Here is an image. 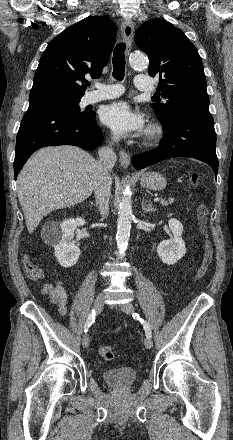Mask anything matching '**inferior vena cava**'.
<instances>
[{"label":"inferior vena cava","instance_id":"obj_1","mask_svg":"<svg viewBox=\"0 0 233 440\" xmlns=\"http://www.w3.org/2000/svg\"><path fill=\"white\" fill-rule=\"evenodd\" d=\"M113 141H118L117 137H113ZM99 160L97 162V177L94 184V192L96 204L98 205L100 214L105 217L109 212V199L111 195L112 179L110 171L117 160L116 154L112 146L102 147L99 152Z\"/></svg>","mask_w":233,"mask_h":440}]
</instances>
